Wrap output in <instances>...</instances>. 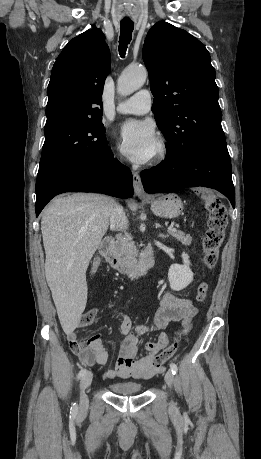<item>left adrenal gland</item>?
Listing matches in <instances>:
<instances>
[{
    "label": "left adrenal gland",
    "mask_w": 261,
    "mask_h": 459,
    "mask_svg": "<svg viewBox=\"0 0 261 459\" xmlns=\"http://www.w3.org/2000/svg\"><path fill=\"white\" fill-rule=\"evenodd\" d=\"M159 237H161V238H163V239H166V238H168V235H164V234L160 233V234H159Z\"/></svg>",
    "instance_id": "obj_1"
}]
</instances>
